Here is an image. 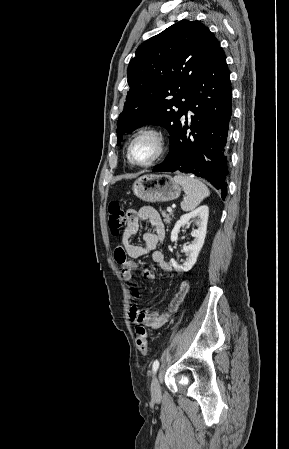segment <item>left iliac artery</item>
<instances>
[{
    "label": "left iliac artery",
    "mask_w": 289,
    "mask_h": 449,
    "mask_svg": "<svg viewBox=\"0 0 289 449\" xmlns=\"http://www.w3.org/2000/svg\"><path fill=\"white\" fill-rule=\"evenodd\" d=\"M158 367H159V361H158V360H155V361L153 362V365H152V371H153V373H156V371L158 370Z\"/></svg>",
    "instance_id": "obj_1"
}]
</instances>
